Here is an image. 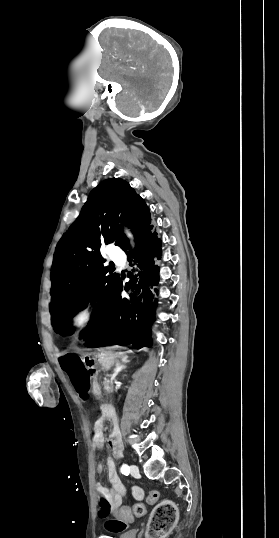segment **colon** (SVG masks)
Returning a JSON list of instances; mask_svg holds the SVG:
<instances>
[{"label":"colon","mask_w":279,"mask_h":538,"mask_svg":"<svg viewBox=\"0 0 279 538\" xmlns=\"http://www.w3.org/2000/svg\"><path fill=\"white\" fill-rule=\"evenodd\" d=\"M98 493L100 513L102 516H107L111 513L112 506L106 497L105 489L103 487ZM158 499L159 493L157 491H150L147 495L146 502L149 505H154L158 502ZM145 513L146 506L143 503H136L132 507H122L117 512V517L121 521L128 522L134 517H140ZM177 514L176 506L170 501L157 505L150 519L147 538H163L166 536L175 525Z\"/></svg>","instance_id":"5ec220e1"}]
</instances>
